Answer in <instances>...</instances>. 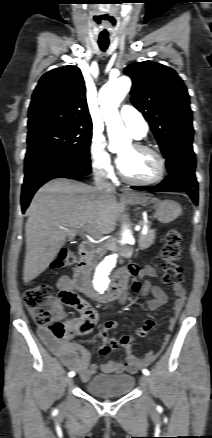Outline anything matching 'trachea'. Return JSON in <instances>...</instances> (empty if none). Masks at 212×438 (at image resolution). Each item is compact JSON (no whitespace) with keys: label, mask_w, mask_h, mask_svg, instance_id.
<instances>
[{"label":"trachea","mask_w":212,"mask_h":438,"mask_svg":"<svg viewBox=\"0 0 212 438\" xmlns=\"http://www.w3.org/2000/svg\"><path fill=\"white\" fill-rule=\"evenodd\" d=\"M109 43L99 42L100 49L104 52L108 48Z\"/></svg>","instance_id":"1"}]
</instances>
